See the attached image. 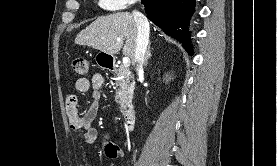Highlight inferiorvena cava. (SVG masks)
<instances>
[{
	"label": "inferior vena cava",
	"instance_id": "obj_1",
	"mask_svg": "<svg viewBox=\"0 0 277 166\" xmlns=\"http://www.w3.org/2000/svg\"><path fill=\"white\" fill-rule=\"evenodd\" d=\"M133 16L137 25L135 59L137 63V71L142 72L149 42L150 27L147 18L142 13L134 11Z\"/></svg>",
	"mask_w": 277,
	"mask_h": 166
}]
</instances>
